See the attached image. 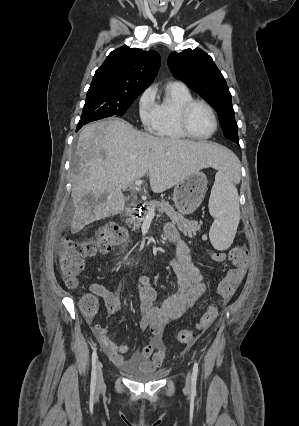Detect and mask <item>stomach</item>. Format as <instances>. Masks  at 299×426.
<instances>
[{
  "label": "stomach",
  "mask_w": 299,
  "mask_h": 426,
  "mask_svg": "<svg viewBox=\"0 0 299 426\" xmlns=\"http://www.w3.org/2000/svg\"><path fill=\"white\" fill-rule=\"evenodd\" d=\"M207 184L206 175L199 171L176 184L173 200L181 214H191L200 206L207 191Z\"/></svg>",
  "instance_id": "obj_1"
}]
</instances>
